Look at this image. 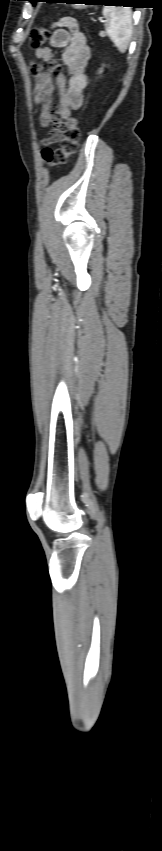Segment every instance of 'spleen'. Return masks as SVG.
Segmentation results:
<instances>
[{"instance_id":"spleen-1","label":"spleen","mask_w":162,"mask_h":851,"mask_svg":"<svg viewBox=\"0 0 162 851\" xmlns=\"http://www.w3.org/2000/svg\"><path fill=\"white\" fill-rule=\"evenodd\" d=\"M103 15L107 19L106 32L121 53H125L132 35L131 9L124 7H104Z\"/></svg>"}]
</instances>
